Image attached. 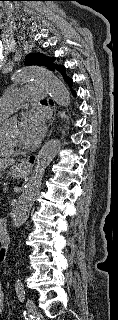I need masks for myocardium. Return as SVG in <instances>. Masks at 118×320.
Returning <instances> with one entry per match:
<instances>
[{
    "mask_svg": "<svg viewBox=\"0 0 118 320\" xmlns=\"http://www.w3.org/2000/svg\"><path fill=\"white\" fill-rule=\"evenodd\" d=\"M3 138L12 148L21 147V145L19 144V142L17 140L11 139V138L7 137L5 134H3Z\"/></svg>",
    "mask_w": 118,
    "mask_h": 320,
    "instance_id": "obj_1",
    "label": "myocardium"
}]
</instances>
